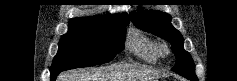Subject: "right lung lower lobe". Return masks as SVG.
Listing matches in <instances>:
<instances>
[{
  "label": "right lung lower lobe",
  "instance_id": "obj_1",
  "mask_svg": "<svg viewBox=\"0 0 237 81\" xmlns=\"http://www.w3.org/2000/svg\"><path fill=\"white\" fill-rule=\"evenodd\" d=\"M58 74H59V73H58ZM58 74H51V75H50L51 81H54V80L56 79V77H57Z\"/></svg>",
  "mask_w": 237,
  "mask_h": 81
}]
</instances>
